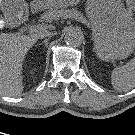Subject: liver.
Masks as SVG:
<instances>
[{"label": "liver", "instance_id": "liver-1", "mask_svg": "<svg viewBox=\"0 0 135 135\" xmlns=\"http://www.w3.org/2000/svg\"><path fill=\"white\" fill-rule=\"evenodd\" d=\"M2 26L0 21V28ZM39 34L0 33V95L16 97L22 94L23 61L28 50L40 38Z\"/></svg>", "mask_w": 135, "mask_h": 135}]
</instances>
